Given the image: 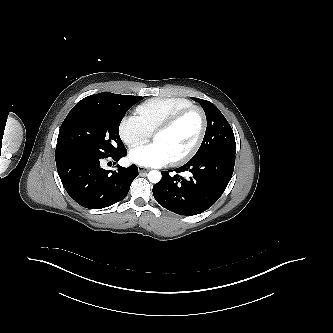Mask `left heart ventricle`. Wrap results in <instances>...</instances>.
Listing matches in <instances>:
<instances>
[{"label": "left heart ventricle", "instance_id": "left-heart-ventricle-1", "mask_svg": "<svg viewBox=\"0 0 333 333\" xmlns=\"http://www.w3.org/2000/svg\"><path fill=\"white\" fill-rule=\"evenodd\" d=\"M200 127V116L193 112L183 118L172 129L157 134L153 141L162 145L172 160L186 152L194 144Z\"/></svg>", "mask_w": 333, "mask_h": 333}]
</instances>
